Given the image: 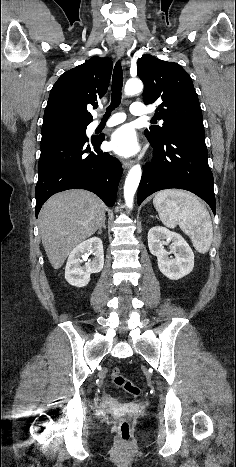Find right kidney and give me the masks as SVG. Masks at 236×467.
Returning a JSON list of instances; mask_svg holds the SVG:
<instances>
[{
  "label": "right kidney",
  "instance_id": "obj_1",
  "mask_svg": "<svg viewBox=\"0 0 236 467\" xmlns=\"http://www.w3.org/2000/svg\"><path fill=\"white\" fill-rule=\"evenodd\" d=\"M85 254L93 255V258L82 265ZM104 266V251L102 240L98 237H92L78 246L70 253L66 268V281L76 287H84L90 281L92 273H98Z\"/></svg>",
  "mask_w": 236,
  "mask_h": 467
}]
</instances>
